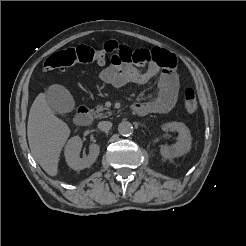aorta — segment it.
Listing matches in <instances>:
<instances>
[{
  "mask_svg": "<svg viewBox=\"0 0 246 246\" xmlns=\"http://www.w3.org/2000/svg\"><path fill=\"white\" fill-rule=\"evenodd\" d=\"M118 131L122 136H129L133 133V126L128 121H123L118 125Z\"/></svg>",
  "mask_w": 246,
  "mask_h": 246,
  "instance_id": "aorta-1",
  "label": "aorta"
}]
</instances>
